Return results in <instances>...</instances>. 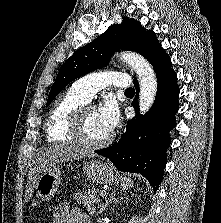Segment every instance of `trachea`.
<instances>
[{"label": "trachea", "instance_id": "obj_1", "mask_svg": "<svg viewBox=\"0 0 221 223\" xmlns=\"http://www.w3.org/2000/svg\"><path fill=\"white\" fill-rule=\"evenodd\" d=\"M134 92H135V90L133 88H128L125 91L126 94H131V93H134Z\"/></svg>", "mask_w": 221, "mask_h": 223}]
</instances>
